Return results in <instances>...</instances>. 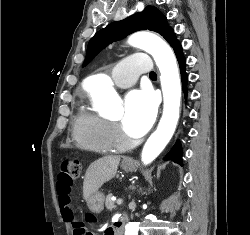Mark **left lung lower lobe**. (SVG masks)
Wrapping results in <instances>:
<instances>
[{
  "label": "left lung lower lobe",
  "mask_w": 250,
  "mask_h": 235,
  "mask_svg": "<svg viewBox=\"0 0 250 235\" xmlns=\"http://www.w3.org/2000/svg\"><path fill=\"white\" fill-rule=\"evenodd\" d=\"M170 46L174 49V52L176 54L178 63H179V67H180V72H181V80H182V85H183V91L185 93V96L187 95V74L185 72V65H186V60L185 57L183 55L182 52V46L179 43V41L177 40L176 37H174L172 39V41L170 42ZM182 150L180 147V144L175 145L171 151L165 156L164 160H173L174 162L179 163L180 165H182Z\"/></svg>",
  "instance_id": "obj_1"
}]
</instances>
